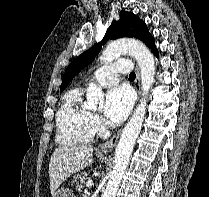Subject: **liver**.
<instances>
[{
	"mask_svg": "<svg viewBox=\"0 0 209 197\" xmlns=\"http://www.w3.org/2000/svg\"><path fill=\"white\" fill-rule=\"evenodd\" d=\"M92 162L93 146L91 145H61L57 147L49 162L52 196L68 177L90 166Z\"/></svg>",
	"mask_w": 209,
	"mask_h": 197,
	"instance_id": "obj_1",
	"label": "liver"
}]
</instances>
